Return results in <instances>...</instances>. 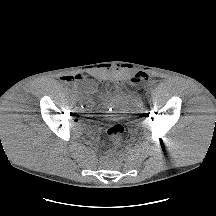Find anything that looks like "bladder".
Here are the masks:
<instances>
[{
	"label": "bladder",
	"mask_w": 216,
	"mask_h": 216,
	"mask_svg": "<svg viewBox=\"0 0 216 216\" xmlns=\"http://www.w3.org/2000/svg\"><path fill=\"white\" fill-rule=\"evenodd\" d=\"M84 101L90 114L99 122H109L113 119L125 121L133 113V106L127 95L116 91L96 96L92 91H89L84 95Z\"/></svg>",
	"instance_id": "bladder-1"
}]
</instances>
